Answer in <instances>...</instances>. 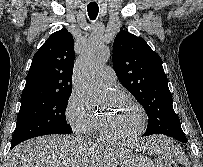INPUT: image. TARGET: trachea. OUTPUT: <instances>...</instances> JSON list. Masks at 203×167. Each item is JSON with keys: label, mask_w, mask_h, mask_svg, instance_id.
<instances>
[{"label": "trachea", "mask_w": 203, "mask_h": 167, "mask_svg": "<svg viewBox=\"0 0 203 167\" xmlns=\"http://www.w3.org/2000/svg\"><path fill=\"white\" fill-rule=\"evenodd\" d=\"M87 12L88 16L91 20H95L98 12H99V7L96 3H90L87 5Z\"/></svg>", "instance_id": "trachea-1"}]
</instances>
